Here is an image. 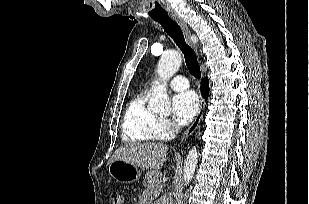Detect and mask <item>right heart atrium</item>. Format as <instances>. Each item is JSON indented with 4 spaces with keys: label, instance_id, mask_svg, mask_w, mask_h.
I'll return each mask as SVG.
<instances>
[{
    "label": "right heart atrium",
    "instance_id": "obj_1",
    "mask_svg": "<svg viewBox=\"0 0 309 204\" xmlns=\"http://www.w3.org/2000/svg\"><path fill=\"white\" fill-rule=\"evenodd\" d=\"M176 126L168 119L159 118L156 124V136L159 139H167L174 135Z\"/></svg>",
    "mask_w": 309,
    "mask_h": 204
}]
</instances>
